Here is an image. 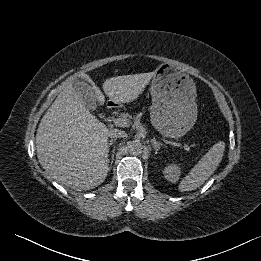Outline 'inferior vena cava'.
Instances as JSON below:
<instances>
[{
  "instance_id": "602c4592",
  "label": "inferior vena cava",
  "mask_w": 261,
  "mask_h": 261,
  "mask_svg": "<svg viewBox=\"0 0 261 261\" xmlns=\"http://www.w3.org/2000/svg\"><path fill=\"white\" fill-rule=\"evenodd\" d=\"M109 137L111 138H124L126 137V133L121 130L113 129L109 132Z\"/></svg>"
}]
</instances>
